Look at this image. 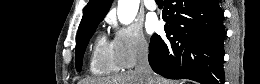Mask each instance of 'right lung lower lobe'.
Masks as SVG:
<instances>
[{"mask_svg":"<svg viewBox=\"0 0 260 84\" xmlns=\"http://www.w3.org/2000/svg\"><path fill=\"white\" fill-rule=\"evenodd\" d=\"M164 4L167 35L151 37L152 69L169 79L223 84L226 31L218 0H165Z\"/></svg>","mask_w":260,"mask_h":84,"instance_id":"obj_1","label":"right lung lower lobe"}]
</instances>
